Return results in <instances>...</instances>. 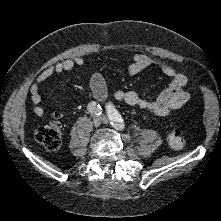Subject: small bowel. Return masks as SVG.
Masks as SVG:
<instances>
[{"label":"small bowel","mask_w":221,"mask_h":221,"mask_svg":"<svg viewBox=\"0 0 221 221\" xmlns=\"http://www.w3.org/2000/svg\"><path fill=\"white\" fill-rule=\"evenodd\" d=\"M84 59L82 57H72L65 59L54 66L45 69L37 77L30 88L31 100L38 117L45 116L44 110L41 107V86L52 76L72 70L77 66H82ZM153 64L152 58L142 53H135L132 56V62L127 67L130 75H135ZM162 73L170 78L169 86L163 90L155 99H147L140 96L134 91L116 90L113 95L117 101L125 102L126 104L154 114L157 116H166L173 111L182 107L191 97V93L186 89L188 84L187 76L176 70L171 65H162ZM90 88L94 98L98 102H105L108 98V89L103 75L99 72H94L90 77Z\"/></svg>","instance_id":"obj_1"}]
</instances>
